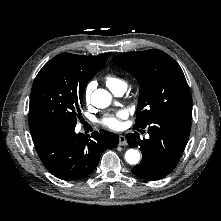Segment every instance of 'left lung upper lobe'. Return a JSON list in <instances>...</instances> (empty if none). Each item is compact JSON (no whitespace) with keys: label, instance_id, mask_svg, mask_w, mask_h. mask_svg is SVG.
I'll return each instance as SVG.
<instances>
[{"label":"left lung upper lobe","instance_id":"5c2ea615","mask_svg":"<svg viewBox=\"0 0 221 221\" xmlns=\"http://www.w3.org/2000/svg\"><path fill=\"white\" fill-rule=\"evenodd\" d=\"M113 62L140 85L134 127L145 128L162 116L192 117V98L178 63L161 50L114 55Z\"/></svg>","mask_w":221,"mask_h":221}]
</instances>
